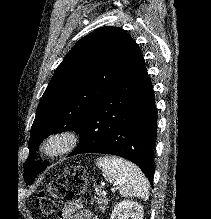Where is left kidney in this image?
I'll use <instances>...</instances> for the list:
<instances>
[{
  "instance_id": "obj_1",
  "label": "left kidney",
  "mask_w": 211,
  "mask_h": 219,
  "mask_svg": "<svg viewBox=\"0 0 211 219\" xmlns=\"http://www.w3.org/2000/svg\"><path fill=\"white\" fill-rule=\"evenodd\" d=\"M111 219H143V208L137 202L122 201L113 209Z\"/></svg>"
}]
</instances>
